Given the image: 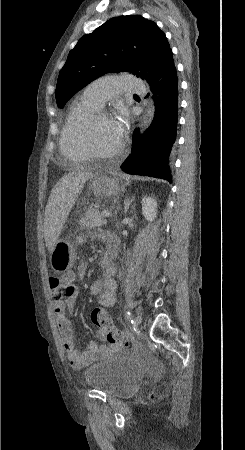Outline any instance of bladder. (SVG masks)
Wrapping results in <instances>:
<instances>
[{
  "label": "bladder",
  "mask_w": 245,
  "mask_h": 450,
  "mask_svg": "<svg viewBox=\"0 0 245 450\" xmlns=\"http://www.w3.org/2000/svg\"><path fill=\"white\" fill-rule=\"evenodd\" d=\"M86 385L115 397L131 395L141 384L142 372L128 358H111L89 366L83 374Z\"/></svg>",
  "instance_id": "1"
}]
</instances>
